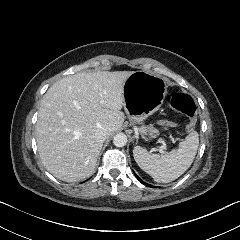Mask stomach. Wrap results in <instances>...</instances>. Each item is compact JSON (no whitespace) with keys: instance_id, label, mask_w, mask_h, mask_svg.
Segmentation results:
<instances>
[{"instance_id":"1","label":"stomach","mask_w":240,"mask_h":240,"mask_svg":"<svg viewBox=\"0 0 240 240\" xmlns=\"http://www.w3.org/2000/svg\"><path fill=\"white\" fill-rule=\"evenodd\" d=\"M167 78L144 70L134 71L124 85L123 106L129 119L141 122L162 106L167 95Z\"/></svg>"}]
</instances>
